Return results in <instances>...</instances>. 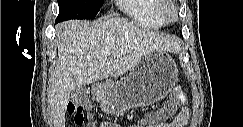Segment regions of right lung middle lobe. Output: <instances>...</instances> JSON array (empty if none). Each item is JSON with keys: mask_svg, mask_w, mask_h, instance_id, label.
<instances>
[{"mask_svg": "<svg viewBox=\"0 0 243 127\" xmlns=\"http://www.w3.org/2000/svg\"><path fill=\"white\" fill-rule=\"evenodd\" d=\"M59 15L56 22L70 19H94L103 0H57Z\"/></svg>", "mask_w": 243, "mask_h": 127, "instance_id": "1", "label": "right lung middle lobe"}]
</instances>
